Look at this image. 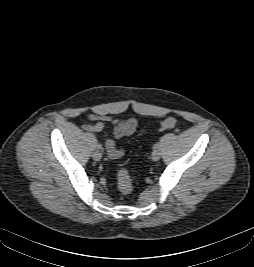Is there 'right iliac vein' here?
I'll list each match as a JSON object with an SVG mask.
<instances>
[{
    "instance_id": "obj_1",
    "label": "right iliac vein",
    "mask_w": 254,
    "mask_h": 267,
    "mask_svg": "<svg viewBox=\"0 0 254 267\" xmlns=\"http://www.w3.org/2000/svg\"><path fill=\"white\" fill-rule=\"evenodd\" d=\"M92 156L95 161H99L102 158V153L99 150H96Z\"/></svg>"
}]
</instances>
